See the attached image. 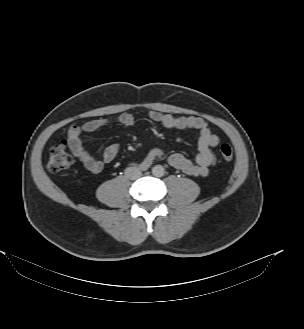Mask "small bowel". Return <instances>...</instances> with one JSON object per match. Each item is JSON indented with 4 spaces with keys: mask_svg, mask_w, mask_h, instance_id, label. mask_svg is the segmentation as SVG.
Returning <instances> with one entry per match:
<instances>
[{
    "mask_svg": "<svg viewBox=\"0 0 304 329\" xmlns=\"http://www.w3.org/2000/svg\"><path fill=\"white\" fill-rule=\"evenodd\" d=\"M148 118L164 128L190 131L198 143V153L195 161L182 154H172L168 157L169 164L183 173L193 177H204L209 174L211 168L216 164L214 148L219 144L220 139L213 134L207 122L201 117L181 116L176 117L158 111H151ZM135 117L130 113H122L113 119H94L82 126H72L68 131L70 149L73 154L83 163L89 171L98 173L102 170L104 163L112 162L119 153L118 144L108 145L102 154V160L95 158L87 149L82 135L99 130L110 124H118L125 127H132L135 124ZM164 157L162 150L152 148L148 154L136 164L145 168L154 160Z\"/></svg>",
    "mask_w": 304,
    "mask_h": 329,
    "instance_id": "obj_1",
    "label": "small bowel"
}]
</instances>
